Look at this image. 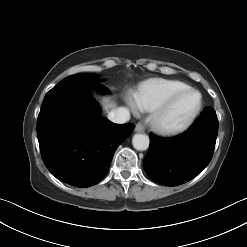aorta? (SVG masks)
Returning <instances> with one entry per match:
<instances>
[{"mask_svg":"<svg viewBox=\"0 0 247 247\" xmlns=\"http://www.w3.org/2000/svg\"><path fill=\"white\" fill-rule=\"evenodd\" d=\"M132 144L136 150L145 151L149 147V137L145 134H135Z\"/></svg>","mask_w":247,"mask_h":247,"instance_id":"aorta-1","label":"aorta"}]
</instances>
